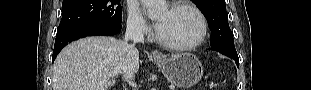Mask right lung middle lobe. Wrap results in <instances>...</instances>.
Wrapping results in <instances>:
<instances>
[{
    "instance_id": "1",
    "label": "right lung middle lobe",
    "mask_w": 311,
    "mask_h": 90,
    "mask_svg": "<svg viewBox=\"0 0 311 90\" xmlns=\"http://www.w3.org/2000/svg\"><path fill=\"white\" fill-rule=\"evenodd\" d=\"M120 0H63L57 33L88 24L115 25L122 22Z\"/></svg>"
}]
</instances>
